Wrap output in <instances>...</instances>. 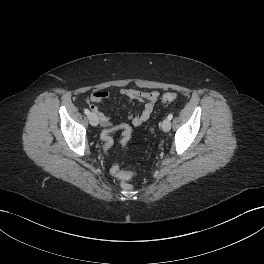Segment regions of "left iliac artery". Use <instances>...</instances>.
Segmentation results:
<instances>
[{"label":"left iliac artery","instance_id":"left-iliac-artery-1","mask_svg":"<svg viewBox=\"0 0 264 264\" xmlns=\"http://www.w3.org/2000/svg\"><path fill=\"white\" fill-rule=\"evenodd\" d=\"M167 118L171 120L173 118V114H169Z\"/></svg>","mask_w":264,"mask_h":264}]
</instances>
